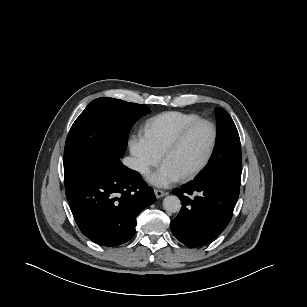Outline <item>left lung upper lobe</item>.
I'll return each instance as SVG.
<instances>
[{"label":"left lung upper lobe","instance_id":"5c2ea615","mask_svg":"<svg viewBox=\"0 0 307 307\" xmlns=\"http://www.w3.org/2000/svg\"><path fill=\"white\" fill-rule=\"evenodd\" d=\"M218 121L217 142L208 168L198 180L216 178L240 190L242 156L240 138L231 116L221 108L216 109Z\"/></svg>","mask_w":307,"mask_h":307}]
</instances>
